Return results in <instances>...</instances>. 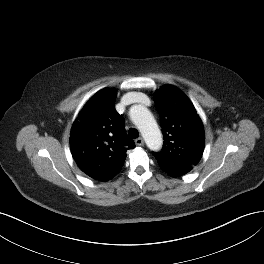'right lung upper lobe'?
Segmentation results:
<instances>
[{
  "instance_id": "obj_1",
  "label": "right lung upper lobe",
  "mask_w": 264,
  "mask_h": 264,
  "mask_svg": "<svg viewBox=\"0 0 264 264\" xmlns=\"http://www.w3.org/2000/svg\"><path fill=\"white\" fill-rule=\"evenodd\" d=\"M116 91L103 89L84 106L70 138L72 155L79 168L100 181L115 177L135 143L125 132V120L115 110Z\"/></svg>"
}]
</instances>
